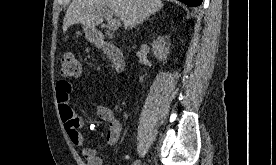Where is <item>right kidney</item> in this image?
Masks as SVG:
<instances>
[{"label":"right kidney","mask_w":276,"mask_h":165,"mask_svg":"<svg viewBox=\"0 0 276 165\" xmlns=\"http://www.w3.org/2000/svg\"><path fill=\"white\" fill-rule=\"evenodd\" d=\"M166 38V37H165ZM164 37H158L157 40L152 43V51L158 60H166L169 54L170 43L165 42Z\"/></svg>","instance_id":"right-kidney-1"}]
</instances>
